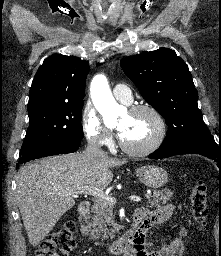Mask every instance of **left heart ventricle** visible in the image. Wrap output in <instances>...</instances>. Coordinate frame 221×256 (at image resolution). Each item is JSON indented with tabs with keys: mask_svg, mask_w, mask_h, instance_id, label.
Returning <instances> with one entry per match:
<instances>
[{
	"mask_svg": "<svg viewBox=\"0 0 221 256\" xmlns=\"http://www.w3.org/2000/svg\"><path fill=\"white\" fill-rule=\"evenodd\" d=\"M117 128L123 133V141L134 147L148 144L157 132L156 122L147 112L126 113L119 121Z\"/></svg>",
	"mask_w": 221,
	"mask_h": 256,
	"instance_id": "1",
	"label": "left heart ventricle"
}]
</instances>
